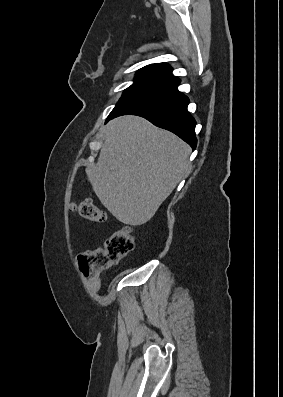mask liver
<instances>
[{"mask_svg": "<svg viewBox=\"0 0 283 397\" xmlns=\"http://www.w3.org/2000/svg\"><path fill=\"white\" fill-rule=\"evenodd\" d=\"M191 148L175 134L138 116L106 126L96 165L87 174L103 206L120 222L149 221L187 174Z\"/></svg>", "mask_w": 283, "mask_h": 397, "instance_id": "1", "label": "liver"}]
</instances>
